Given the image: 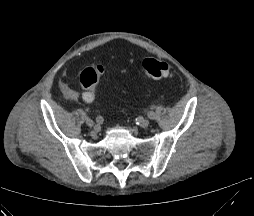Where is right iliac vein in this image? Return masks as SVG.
<instances>
[{
    "label": "right iliac vein",
    "instance_id": "right-iliac-vein-1",
    "mask_svg": "<svg viewBox=\"0 0 254 216\" xmlns=\"http://www.w3.org/2000/svg\"><path fill=\"white\" fill-rule=\"evenodd\" d=\"M86 124H87V126H89V127H95L96 126V124L94 123V121L92 120V119H90V118H87L86 119Z\"/></svg>",
    "mask_w": 254,
    "mask_h": 216
}]
</instances>
